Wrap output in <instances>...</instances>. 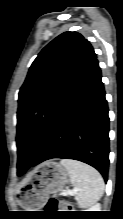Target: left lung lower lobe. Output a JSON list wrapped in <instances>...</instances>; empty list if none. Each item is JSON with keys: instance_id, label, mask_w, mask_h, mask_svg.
I'll use <instances>...</instances> for the list:
<instances>
[{"instance_id": "1", "label": "left lung lower lobe", "mask_w": 123, "mask_h": 219, "mask_svg": "<svg viewBox=\"0 0 123 219\" xmlns=\"http://www.w3.org/2000/svg\"><path fill=\"white\" fill-rule=\"evenodd\" d=\"M101 78L96 59L59 107L29 167L52 158L74 159L93 166L107 180L109 117Z\"/></svg>"}]
</instances>
